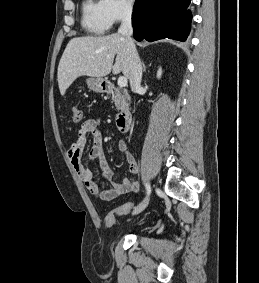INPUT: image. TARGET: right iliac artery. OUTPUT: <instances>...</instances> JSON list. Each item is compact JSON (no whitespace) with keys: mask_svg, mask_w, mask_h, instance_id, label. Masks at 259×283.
<instances>
[{"mask_svg":"<svg viewBox=\"0 0 259 283\" xmlns=\"http://www.w3.org/2000/svg\"><path fill=\"white\" fill-rule=\"evenodd\" d=\"M145 188H146V191H147V196L150 195L151 193V188H150V185L148 183L145 184Z\"/></svg>","mask_w":259,"mask_h":283,"instance_id":"1","label":"right iliac artery"}]
</instances>
